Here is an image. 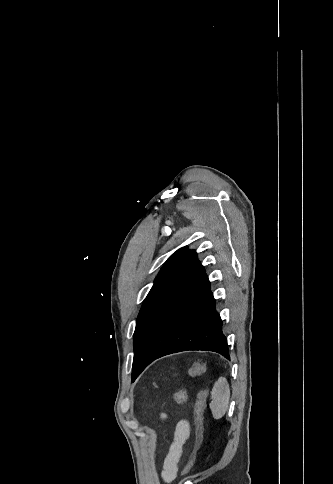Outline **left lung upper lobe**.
<instances>
[{"label":"left lung upper lobe","mask_w":333,"mask_h":484,"mask_svg":"<svg viewBox=\"0 0 333 484\" xmlns=\"http://www.w3.org/2000/svg\"><path fill=\"white\" fill-rule=\"evenodd\" d=\"M195 258L196 253L194 250H188L187 247H183L173 253L165 262L163 268L161 269L154 281L152 289L144 300L141 310L139 312L134 332V346L136 344L144 322L146 321L150 311L152 310L153 306L155 305L161 294L170 285V283L173 281V279L176 277L182 267L186 263H191ZM142 371L143 370L140 371L139 368H133L132 380L134 378H137Z\"/></svg>","instance_id":"left-lung-upper-lobe-1"}]
</instances>
